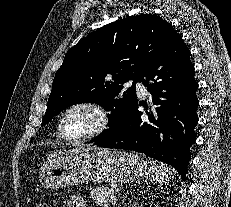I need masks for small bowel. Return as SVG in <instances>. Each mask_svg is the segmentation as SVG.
Instances as JSON below:
<instances>
[{"mask_svg": "<svg viewBox=\"0 0 231 207\" xmlns=\"http://www.w3.org/2000/svg\"><path fill=\"white\" fill-rule=\"evenodd\" d=\"M62 207H91L88 206L81 196H72L70 199L63 203Z\"/></svg>", "mask_w": 231, "mask_h": 207, "instance_id": "c3829d8e", "label": "small bowel"}]
</instances>
